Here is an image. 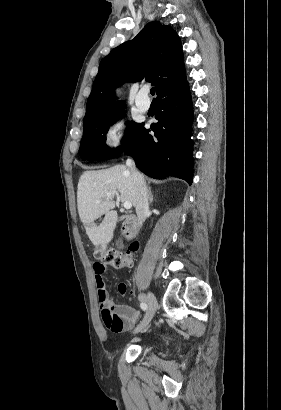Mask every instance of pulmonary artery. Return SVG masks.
<instances>
[{"mask_svg":"<svg viewBox=\"0 0 281 410\" xmlns=\"http://www.w3.org/2000/svg\"><path fill=\"white\" fill-rule=\"evenodd\" d=\"M148 91V87L143 86L136 94L135 104L142 112L147 111L150 107V100L147 97Z\"/></svg>","mask_w":281,"mask_h":410,"instance_id":"1","label":"pulmonary artery"}]
</instances>
